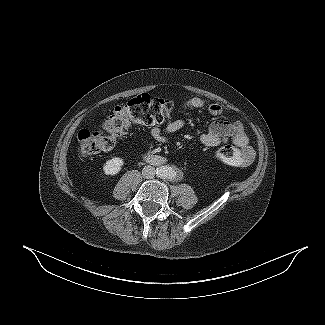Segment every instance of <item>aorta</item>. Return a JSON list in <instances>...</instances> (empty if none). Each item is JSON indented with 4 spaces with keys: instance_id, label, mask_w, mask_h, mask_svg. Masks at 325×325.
Segmentation results:
<instances>
[{
    "instance_id": "762f6f07",
    "label": "aorta",
    "mask_w": 325,
    "mask_h": 325,
    "mask_svg": "<svg viewBox=\"0 0 325 325\" xmlns=\"http://www.w3.org/2000/svg\"><path fill=\"white\" fill-rule=\"evenodd\" d=\"M156 174L160 178H175L177 175L173 167L166 165L157 168Z\"/></svg>"
}]
</instances>
